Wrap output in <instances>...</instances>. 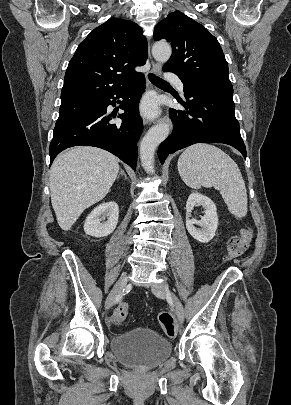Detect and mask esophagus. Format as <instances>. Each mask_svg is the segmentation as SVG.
Instances as JSON below:
<instances>
[{
	"label": "esophagus",
	"mask_w": 291,
	"mask_h": 405,
	"mask_svg": "<svg viewBox=\"0 0 291 405\" xmlns=\"http://www.w3.org/2000/svg\"><path fill=\"white\" fill-rule=\"evenodd\" d=\"M151 72L153 74H159L161 72V65L155 62H152ZM157 123H169L170 119L167 116H162L156 120Z\"/></svg>",
	"instance_id": "1"
}]
</instances>
